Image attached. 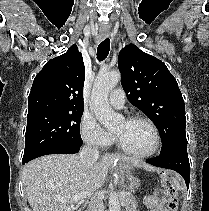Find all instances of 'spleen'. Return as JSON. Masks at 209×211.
Wrapping results in <instances>:
<instances>
[{"mask_svg": "<svg viewBox=\"0 0 209 211\" xmlns=\"http://www.w3.org/2000/svg\"><path fill=\"white\" fill-rule=\"evenodd\" d=\"M172 182L178 190H181V186L177 178L172 177Z\"/></svg>", "mask_w": 209, "mask_h": 211, "instance_id": "spleen-1", "label": "spleen"}]
</instances>
